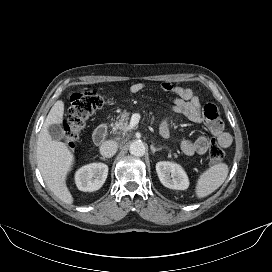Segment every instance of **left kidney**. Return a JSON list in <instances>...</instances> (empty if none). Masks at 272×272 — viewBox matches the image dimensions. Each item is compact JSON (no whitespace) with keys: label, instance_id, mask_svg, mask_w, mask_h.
I'll return each mask as SVG.
<instances>
[{"label":"left kidney","instance_id":"left-kidney-1","mask_svg":"<svg viewBox=\"0 0 272 272\" xmlns=\"http://www.w3.org/2000/svg\"><path fill=\"white\" fill-rule=\"evenodd\" d=\"M156 172L160 182L167 188L185 190L189 187V179L180 164L160 161L156 164Z\"/></svg>","mask_w":272,"mask_h":272}]
</instances>
